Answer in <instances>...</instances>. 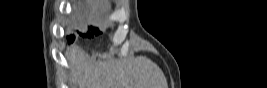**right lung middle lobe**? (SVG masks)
Listing matches in <instances>:
<instances>
[{"instance_id":"right-lung-middle-lobe-1","label":"right lung middle lobe","mask_w":267,"mask_h":88,"mask_svg":"<svg viewBox=\"0 0 267 88\" xmlns=\"http://www.w3.org/2000/svg\"><path fill=\"white\" fill-rule=\"evenodd\" d=\"M89 29V31L87 32V34H81L82 36H87V37H93V35H99V34H101V32L99 31V29L98 28H95V27H89L88 28ZM68 40L70 41V42H72L73 41V37H68Z\"/></svg>"}]
</instances>
